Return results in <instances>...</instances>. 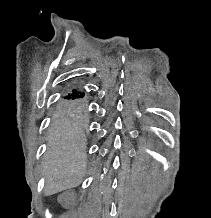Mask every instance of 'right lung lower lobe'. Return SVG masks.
Instances as JSON below:
<instances>
[{
  "label": "right lung lower lobe",
  "mask_w": 211,
  "mask_h": 218,
  "mask_svg": "<svg viewBox=\"0 0 211 218\" xmlns=\"http://www.w3.org/2000/svg\"><path fill=\"white\" fill-rule=\"evenodd\" d=\"M84 97H85V93L77 87H70L64 95V98H84Z\"/></svg>",
  "instance_id": "1"
}]
</instances>
